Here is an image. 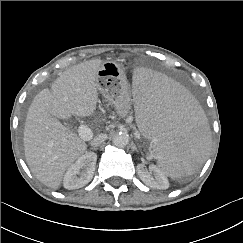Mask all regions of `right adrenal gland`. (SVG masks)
Returning a JSON list of instances; mask_svg holds the SVG:
<instances>
[{
    "label": "right adrenal gland",
    "mask_w": 243,
    "mask_h": 243,
    "mask_svg": "<svg viewBox=\"0 0 243 243\" xmlns=\"http://www.w3.org/2000/svg\"><path fill=\"white\" fill-rule=\"evenodd\" d=\"M98 148L97 147H92L91 150H97Z\"/></svg>",
    "instance_id": "right-adrenal-gland-1"
}]
</instances>
